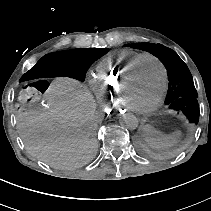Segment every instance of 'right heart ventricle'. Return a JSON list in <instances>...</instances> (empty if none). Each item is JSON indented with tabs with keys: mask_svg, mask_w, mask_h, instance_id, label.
<instances>
[{
	"mask_svg": "<svg viewBox=\"0 0 211 211\" xmlns=\"http://www.w3.org/2000/svg\"><path fill=\"white\" fill-rule=\"evenodd\" d=\"M146 55L135 54L132 50L113 52L97 66V78L94 82L106 106L118 103L120 86L125 75Z\"/></svg>",
	"mask_w": 211,
	"mask_h": 211,
	"instance_id": "e07e8e85",
	"label": "right heart ventricle"
}]
</instances>
